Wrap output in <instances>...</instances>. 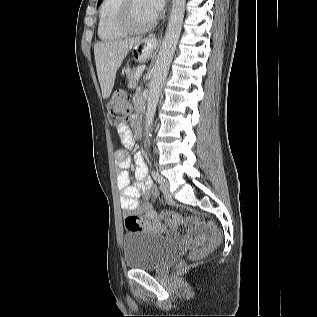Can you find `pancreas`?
I'll return each mask as SVG.
<instances>
[{
	"label": "pancreas",
	"mask_w": 317,
	"mask_h": 317,
	"mask_svg": "<svg viewBox=\"0 0 317 317\" xmlns=\"http://www.w3.org/2000/svg\"><path fill=\"white\" fill-rule=\"evenodd\" d=\"M140 75H137V68L130 69L128 75H126L128 80V92H133V89L137 86V83L140 79Z\"/></svg>",
	"instance_id": "cf45deb5"
}]
</instances>
